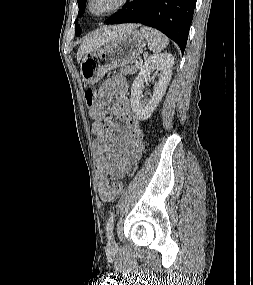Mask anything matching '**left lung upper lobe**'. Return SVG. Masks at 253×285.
<instances>
[{
  "label": "left lung upper lobe",
  "instance_id": "5c2ea615",
  "mask_svg": "<svg viewBox=\"0 0 253 285\" xmlns=\"http://www.w3.org/2000/svg\"><path fill=\"white\" fill-rule=\"evenodd\" d=\"M85 5H86V0H78V6H79L78 17L82 16V14L84 13ZM75 25H76L75 26L76 35H80L81 28L77 23Z\"/></svg>",
  "mask_w": 253,
  "mask_h": 285
}]
</instances>
